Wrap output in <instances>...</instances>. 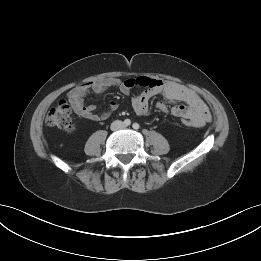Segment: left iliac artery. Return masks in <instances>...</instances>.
Here are the masks:
<instances>
[{
  "mask_svg": "<svg viewBox=\"0 0 261 261\" xmlns=\"http://www.w3.org/2000/svg\"><path fill=\"white\" fill-rule=\"evenodd\" d=\"M132 127H133L134 129H136V130H137V129H139V127H140V126H139V124H138V123H134V124L132 125Z\"/></svg>",
  "mask_w": 261,
  "mask_h": 261,
  "instance_id": "left-iliac-artery-1",
  "label": "left iliac artery"
}]
</instances>
